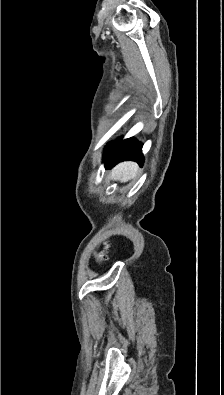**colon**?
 Returning a JSON list of instances; mask_svg holds the SVG:
<instances>
[{
    "label": "colon",
    "instance_id": "1",
    "mask_svg": "<svg viewBox=\"0 0 224 395\" xmlns=\"http://www.w3.org/2000/svg\"><path fill=\"white\" fill-rule=\"evenodd\" d=\"M107 259V254H106V252H100L98 255H97V260L98 261H104V260H106Z\"/></svg>",
    "mask_w": 224,
    "mask_h": 395
}]
</instances>
